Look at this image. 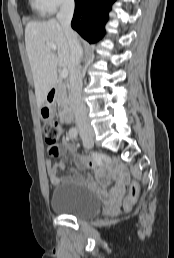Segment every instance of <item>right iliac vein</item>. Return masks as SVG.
Listing matches in <instances>:
<instances>
[{"mask_svg": "<svg viewBox=\"0 0 174 258\" xmlns=\"http://www.w3.org/2000/svg\"><path fill=\"white\" fill-rule=\"evenodd\" d=\"M90 137H93V134H92V133L90 134Z\"/></svg>", "mask_w": 174, "mask_h": 258, "instance_id": "1", "label": "right iliac vein"}]
</instances>
